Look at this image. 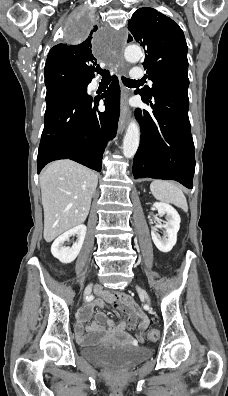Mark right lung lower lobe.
Here are the masks:
<instances>
[{
  "mask_svg": "<svg viewBox=\"0 0 228 396\" xmlns=\"http://www.w3.org/2000/svg\"><path fill=\"white\" fill-rule=\"evenodd\" d=\"M101 98L105 112L98 111L100 98L92 99L87 88L68 92L47 106L37 157L38 173L47 163L58 159H71L101 171L103 152L108 140L116 135L120 114L116 76Z\"/></svg>",
  "mask_w": 228,
  "mask_h": 396,
  "instance_id": "obj_1",
  "label": "right lung lower lobe"
}]
</instances>
